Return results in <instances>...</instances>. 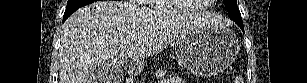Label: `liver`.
<instances>
[{
  "label": "liver",
  "instance_id": "liver-1",
  "mask_svg": "<svg viewBox=\"0 0 307 83\" xmlns=\"http://www.w3.org/2000/svg\"><path fill=\"white\" fill-rule=\"evenodd\" d=\"M218 22L210 13L145 10L124 1H97L78 9L63 25L59 83H89L97 67L119 69L129 60L158 54L173 40Z\"/></svg>",
  "mask_w": 307,
  "mask_h": 83
}]
</instances>
